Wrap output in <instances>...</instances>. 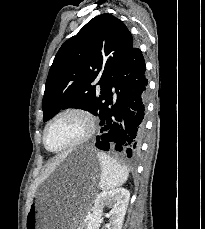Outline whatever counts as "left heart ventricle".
<instances>
[{"mask_svg":"<svg viewBox=\"0 0 205 229\" xmlns=\"http://www.w3.org/2000/svg\"><path fill=\"white\" fill-rule=\"evenodd\" d=\"M85 130L84 122L75 115H67L56 120L47 132V145L59 149L78 139Z\"/></svg>","mask_w":205,"mask_h":229,"instance_id":"obj_1","label":"left heart ventricle"}]
</instances>
